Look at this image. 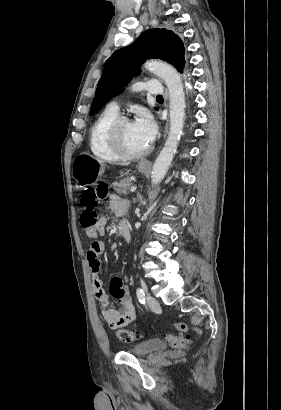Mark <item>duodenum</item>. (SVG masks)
Listing matches in <instances>:
<instances>
[{
  "label": "duodenum",
  "mask_w": 281,
  "mask_h": 410,
  "mask_svg": "<svg viewBox=\"0 0 281 410\" xmlns=\"http://www.w3.org/2000/svg\"><path fill=\"white\" fill-rule=\"evenodd\" d=\"M120 239L124 243H129L131 239L130 227L128 224H122L120 228Z\"/></svg>",
  "instance_id": "410a0bca"
}]
</instances>
